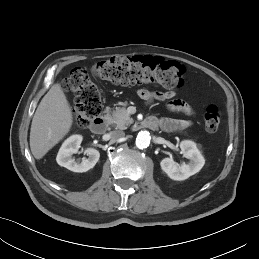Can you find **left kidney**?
<instances>
[{
	"label": "left kidney",
	"mask_w": 259,
	"mask_h": 259,
	"mask_svg": "<svg viewBox=\"0 0 259 259\" xmlns=\"http://www.w3.org/2000/svg\"><path fill=\"white\" fill-rule=\"evenodd\" d=\"M182 154L189 159L188 164H177L173 158H164L160 162L161 169L173 180L181 181L199 172L205 164V159L198 150L196 143L184 140L180 143Z\"/></svg>",
	"instance_id": "left-kidney-1"
}]
</instances>
